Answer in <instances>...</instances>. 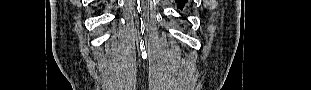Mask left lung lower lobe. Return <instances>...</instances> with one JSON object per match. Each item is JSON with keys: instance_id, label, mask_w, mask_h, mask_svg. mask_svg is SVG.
Wrapping results in <instances>:
<instances>
[{"instance_id": "1", "label": "left lung lower lobe", "mask_w": 311, "mask_h": 90, "mask_svg": "<svg viewBox=\"0 0 311 90\" xmlns=\"http://www.w3.org/2000/svg\"><path fill=\"white\" fill-rule=\"evenodd\" d=\"M176 2L178 3V8L182 10L186 3V0H176Z\"/></svg>"}]
</instances>
